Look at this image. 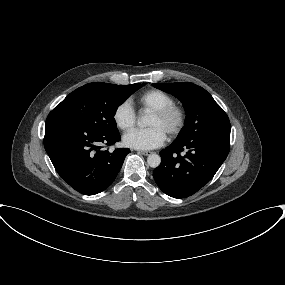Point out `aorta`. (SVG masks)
Here are the masks:
<instances>
[{
    "label": "aorta",
    "instance_id": "aorta-1",
    "mask_svg": "<svg viewBox=\"0 0 285 285\" xmlns=\"http://www.w3.org/2000/svg\"><path fill=\"white\" fill-rule=\"evenodd\" d=\"M137 124L141 127H145L147 125V118L145 116L139 117ZM147 163L150 167L156 168L161 163V158L158 154H150L147 158Z\"/></svg>",
    "mask_w": 285,
    "mask_h": 285
}]
</instances>
